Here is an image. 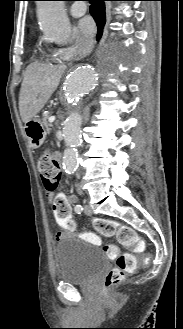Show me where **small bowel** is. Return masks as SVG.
Returning <instances> with one entry per match:
<instances>
[{"label": "small bowel", "instance_id": "c3829d8e", "mask_svg": "<svg viewBox=\"0 0 183 329\" xmlns=\"http://www.w3.org/2000/svg\"><path fill=\"white\" fill-rule=\"evenodd\" d=\"M48 198L51 200V209L53 219H55L56 227H64L65 232H74L75 222L72 220V201L74 197H70L63 194H58L54 197L51 193H47ZM67 202V203H65ZM89 242L94 241L96 244L100 243V239L92 234H85ZM61 237V232L55 233V238L59 239Z\"/></svg>", "mask_w": 183, "mask_h": 329}]
</instances>
